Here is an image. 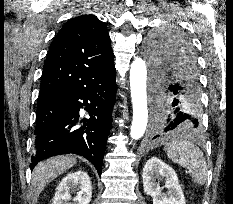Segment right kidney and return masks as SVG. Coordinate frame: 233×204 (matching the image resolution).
I'll list each match as a JSON object with an SVG mask.
<instances>
[{
	"label": "right kidney",
	"instance_id": "right-kidney-1",
	"mask_svg": "<svg viewBox=\"0 0 233 204\" xmlns=\"http://www.w3.org/2000/svg\"><path fill=\"white\" fill-rule=\"evenodd\" d=\"M76 194L73 198L71 194ZM92 185L89 175L82 170L70 172L57 186L52 204H89Z\"/></svg>",
	"mask_w": 233,
	"mask_h": 204
}]
</instances>
